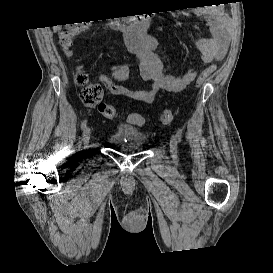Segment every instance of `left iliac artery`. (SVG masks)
Instances as JSON below:
<instances>
[{
  "instance_id": "left-iliac-artery-1",
  "label": "left iliac artery",
  "mask_w": 273,
  "mask_h": 273,
  "mask_svg": "<svg viewBox=\"0 0 273 273\" xmlns=\"http://www.w3.org/2000/svg\"><path fill=\"white\" fill-rule=\"evenodd\" d=\"M176 136H177V138H178V140L180 142L182 140V132H181V130L178 129Z\"/></svg>"
}]
</instances>
